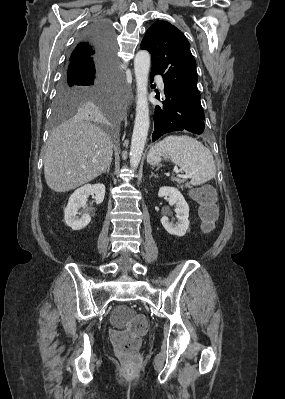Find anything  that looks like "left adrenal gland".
Wrapping results in <instances>:
<instances>
[{"instance_id": "1", "label": "left adrenal gland", "mask_w": 285, "mask_h": 399, "mask_svg": "<svg viewBox=\"0 0 285 399\" xmlns=\"http://www.w3.org/2000/svg\"><path fill=\"white\" fill-rule=\"evenodd\" d=\"M150 177L157 178L158 176H157V175H155L153 172H151V176H150Z\"/></svg>"}]
</instances>
